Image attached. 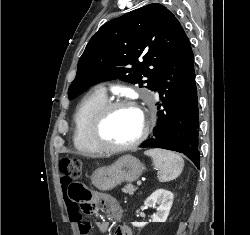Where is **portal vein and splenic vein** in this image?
Segmentation results:
<instances>
[{
  "label": "portal vein and splenic vein",
  "instance_id": "obj_1",
  "mask_svg": "<svg viewBox=\"0 0 250 235\" xmlns=\"http://www.w3.org/2000/svg\"><path fill=\"white\" fill-rule=\"evenodd\" d=\"M137 185H138V186L141 185V181H140V180L137 181Z\"/></svg>",
  "mask_w": 250,
  "mask_h": 235
}]
</instances>
